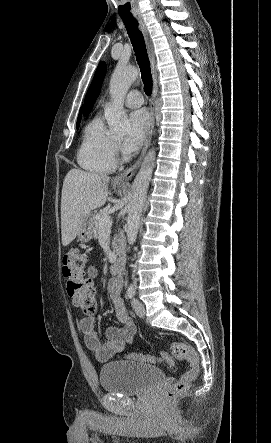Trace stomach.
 Wrapping results in <instances>:
<instances>
[{
	"mask_svg": "<svg viewBox=\"0 0 271 443\" xmlns=\"http://www.w3.org/2000/svg\"><path fill=\"white\" fill-rule=\"evenodd\" d=\"M116 190H121V188H116ZM78 239L80 241H90L93 237V223L92 218H84L83 222L81 223V229L79 233H77Z\"/></svg>",
	"mask_w": 271,
	"mask_h": 443,
	"instance_id": "0dacf381",
	"label": "stomach"
}]
</instances>
